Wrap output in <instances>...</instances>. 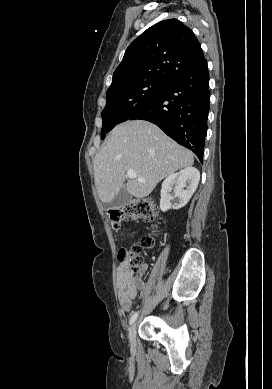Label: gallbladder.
Returning a JSON list of instances; mask_svg holds the SVG:
<instances>
[{
    "instance_id": "obj_1",
    "label": "gallbladder",
    "mask_w": 272,
    "mask_h": 389,
    "mask_svg": "<svg viewBox=\"0 0 272 389\" xmlns=\"http://www.w3.org/2000/svg\"><path fill=\"white\" fill-rule=\"evenodd\" d=\"M131 201V195L122 187L119 193L109 203H105L106 209H120L126 206Z\"/></svg>"
}]
</instances>
